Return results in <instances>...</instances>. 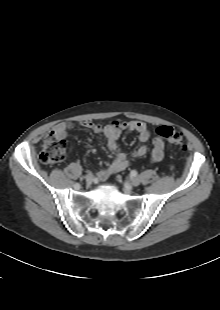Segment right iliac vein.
<instances>
[{"mask_svg": "<svg viewBox=\"0 0 220 310\" xmlns=\"http://www.w3.org/2000/svg\"><path fill=\"white\" fill-rule=\"evenodd\" d=\"M85 180H86L87 185H91L92 182L94 181V176L92 174H88L86 175Z\"/></svg>", "mask_w": 220, "mask_h": 310, "instance_id": "63e3f726", "label": "right iliac vein"}]
</instances>
